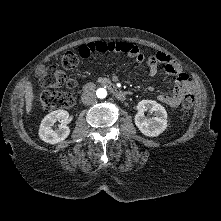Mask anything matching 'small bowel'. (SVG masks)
Wrapping results in <instances>:
<instances>
[{
	"instance_id": "obj_1",
	"label": "small bowel",
	"mask_w": 221,
	"mask_h": 221,
	"mask_svg": "<svg viewBox=\"0 0 221 221\" xmlns=\"http://www.w3.org/2000/svg\"><path fill=\"white\" fill-rule=\"evenodd\" d=\"M82 58H88L94 53H123L137 63H146V73L155 77L158 74V65L163 64L168 75L174 77L175 87L171 95L159 94L158 100L170 107L178 106L185 98L192 97L193 87L187 74L180 65L169 55L158 51L145 56L137 45L127 41H91L80 45L78 49Z\"/></svg>"
}]
</instances>
